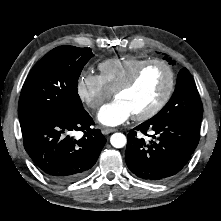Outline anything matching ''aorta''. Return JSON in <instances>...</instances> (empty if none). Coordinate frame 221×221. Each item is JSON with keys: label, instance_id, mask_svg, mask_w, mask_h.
Returning <instances> with one entry per match:
<instances>
[{"label": "aorta", "instance_id": "aorta-1", "mask_svg": "<svg viewBox=\"0 0 221 221\" xmlns=\"http://www.w3.org/2000/svg\"><path fill=\"white\" fill-rule=\"evenodd\" d=\"M126 136L122 133H114L110 138V143L115 148H122L126 145Z\"/></svg>", "mask_w": 221, "mask_h": 221}]
</instances>
